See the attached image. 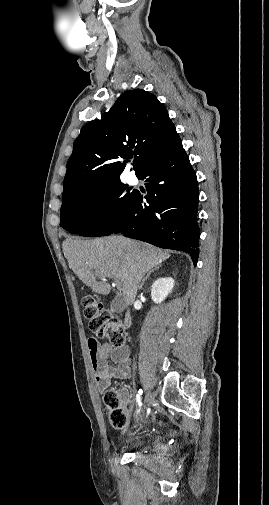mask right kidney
<instances>
[{
    "instance_id": "obj_1",
    "label": "right kidney",
    "mask_w": 269,
    "mask_h": 505,
    "mask_svg": "<svg viewBox=\"0 0 269 505\" xmlns=\"http://www.w3.org/2000/svg\"><path fill=\"white\" fill-rule=\"evenodd\" d=\"M174 280L172 278H158L151 287V298L156 304H160L172 292Z\"/></svg>"
}]
</instances>
